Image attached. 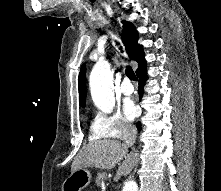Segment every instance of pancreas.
<instances>
[{"instance_id":"1","label":"pancreas","mask_w":221,"mask_h":191,"mask_svg":"<svg viewBox=\"0 0 221 191\" xmlns=\"http://www.w3.org/2000/svg\"><path fill=\"white\" fill-rule=\"evenodd\" d=\"M106 177H107V174L105 172L98 173L96 180H95L97 186H101L102 180L106 179Z\"/></svg>"}]
</instances>
